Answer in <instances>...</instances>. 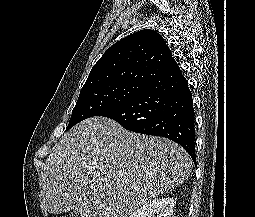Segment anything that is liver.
<instances>
[{
  "mask_svg": "<svg viewBox=\"0 0 255 217\" xmlns=\"http://www.w3.org/2000/svg\"><path fill=\"white\" fill-rule=\"evenodd\" d=\"M191 167L175 142L92 117L66 132L46 159L41 207L52 214L128 217L184 182Z\"/></svg>",
  "mask_w": 255,
  "mask_h": 217,
  "instance_id": "liver-1",
  "label": "liver"
}]
</instances>
